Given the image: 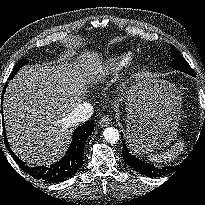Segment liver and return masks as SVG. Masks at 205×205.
I'll return each mask as SVG.
<instances>
[{
	"label": "liver",
	"mask_w": 205,
	"mask_h": 205,
	"mask_svg": "<svg viewBox=\"0 0 205 205\" xmlns=\"http://www.w3.org/2000/svg\"><path fill=\"white\" fill-rule=\"evenodd\" d=\"M88 57L73 67L67 62L56 67L24 66L9 83L4 120L18 157L40 163L64 153L70 139L67 117L79 104L84 78L104 72L98 57Z\"/></svg>",
	"instance_id": "liver-1"
}]
</instances>
